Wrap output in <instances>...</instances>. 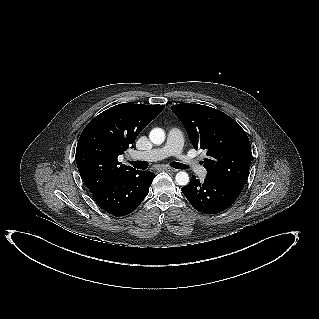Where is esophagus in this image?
Wrapping results in <instances>:
<instances>
[{
  "instance_id": "34e87169",
  "label": "esophagus",
  "mask_w": 319,
  "mask_h": 319,
  "mask_svg": "<svg viewBox=\"0 0 319 319\" xmlns=\"http://www.w3.org/2000/svg\"><path fill=\"white\" fill-rule=\"evenodd\" d=\"M165 169V171H167V172H171V173H175V172H177L178 170L177 169H174V168H171V167H165L164 168Z\"/></svg>"
}]
</instances>
